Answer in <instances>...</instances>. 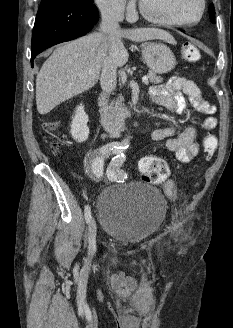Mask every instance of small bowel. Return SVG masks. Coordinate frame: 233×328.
Instances as JSON below:
<instances>
[{
	"instance_id": "c3829d8e",
	"label": "small bowel",
	"mask_w": 233,
	"mask_h": 328,
	"mask_svg": "<svg viewBox=\"0 0 233 328\" xmlns=\"http://www.w3.org/2000/svg\"><path fill=\"white\" fill-rule=\"evenodd\" d=\"M151 99L158 105L168 109L172 113L188 117L196 121V117L187 106V100L194 110L199 114L207 115L200 121V125L205 130H212L218 124V119L214 116L216 108L210 104L203 96L198 85L187 78L174 76L163 85H156L150 89ZM196 131L192 126L186 127L177 133L175 126L159 128L151 133L154 141H162L166 148L173 152L178 161L188 163L199 153V145L195 141ZM164 192L170 199H175L177 190L173 180L168 179L164 183ZM111 286L115 293L122 298L129 297L138 287L136 280L121 272L111 276Z\"/></svg>"
}]
</instances>
